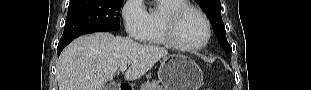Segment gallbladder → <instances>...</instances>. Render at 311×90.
I'll use <instances>...</instances> for the list:
<instances>
[{
	"label": "gallbladder",
	"mask_w": 311,
	"mask_h": 90,
	"mask_svg": "<svg viewBox=\"0 0 311 90\" xmlns=\"http://www.w3.org/2000/svg\"><path fill=\"white\" fill-rule=\"evenodd\" d=\"M103 89H104V90H113V89H114V86L111 85V84H107V85H104V86H103Z\"/></svg>",
	"instance_id": "bac80fb5"
}]
</instances>
